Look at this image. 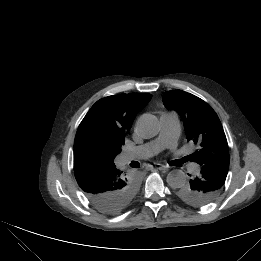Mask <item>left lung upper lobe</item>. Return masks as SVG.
<instances>
[{
	"label": "left lung upper lobe",
	"mask_w": 261,
	"mask_h": 261,
	"mask_svg": "<svg viewBox=\"0 0 261 261\" xmlns=\"http://www.w3.org/2000/svg\"><path fill=\"white\" fill-rule=\"evenodd\" d=\"M166 108L175 110L183 119L186 137L198 149L189 158L204 165L229 166V151L225 133L215 111L202 99L182 90L167 91L163 95ZM177 196L196 207L205 204V195L182 186Z\"/></svg>",
	"instance_id": "left-lung-upper-lobe-1"
}]
</instances>
